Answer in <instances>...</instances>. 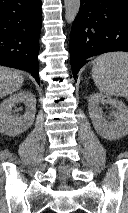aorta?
Segmentation results:
<instances>
[{"label": "aorta", "mask_w": 128, "mask_h": 213, "mask_svg": "<svg viewBox=\"0 0 128 213\" xmlns=\"http://www.w3.org/2000/svg\"><path fill=\"white\" fill-rule=\"evenodd\" d=\"M80 0H64L65 19L67 23H72L80 9Z\"/></svg>", "instance_id": "aorta-1"}]
</instances>
